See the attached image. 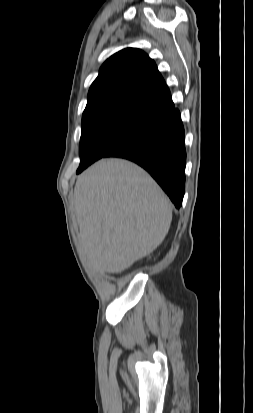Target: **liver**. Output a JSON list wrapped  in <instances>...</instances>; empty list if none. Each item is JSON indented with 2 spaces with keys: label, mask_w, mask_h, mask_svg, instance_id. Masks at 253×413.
I'll list each match as a JSON object with an SVG mask.
<instances>
[{
  "label": "liver",
  "mask_w": 253,
  "mask_h": 413,
  "mask_svg": "<svg viewBox=\"0 0 253 413\" xmlns=\"http://www.w3.org/2000/svg\"><path fill=\"white\" fill-rule=\"evenodd\" d=\"M74 209L83 253L101 273H121L166 237L169 199L151 176L124 159H102L77 179Z\"/></svg>",
  "instance_id": "6515ba94"
}]
</instances>
